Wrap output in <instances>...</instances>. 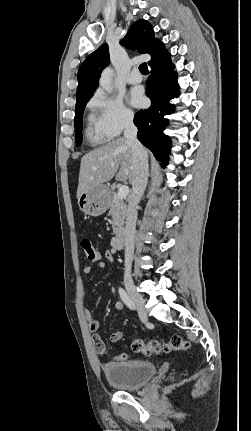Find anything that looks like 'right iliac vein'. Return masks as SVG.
Segmentation results:
<instances>
[{"label":"right iliac vein","mask_w":251,"mask_h":431,"mask_svg":"<svg viewBox=\"0 0 251 431\" xmlns=\"http://www.w3.org/2000/svg\"><path fill=\"white\" fill-rule=\"evenodd\" d=\"M126 290L129 293L131 299L139 310L141 319L145 322L148 320L147 312L145 309V300L142 295L136 290L135 286L131 282H126Z\"/></svg>","instance_id":"obj_1"}]
</instances>
